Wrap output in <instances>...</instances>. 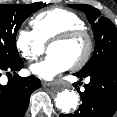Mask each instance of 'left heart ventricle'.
<instances>
[{"instance_id": "obj_1", "label": "left heart ventricle", "mask_w": 117, "mask_h": 117, "mask_svg": "<svg viewBox=\"0 0 117 117\" xmlns=\"http://www.w3.org/2000/svg\"><path fill=\"white\" fill-rule=\"evenodd\" d=\"M85 51V42L77 40L66 44H53L48 48V53L58 55L67 60L70 65L77 62Z\"/></svg>"}]
</instances>
